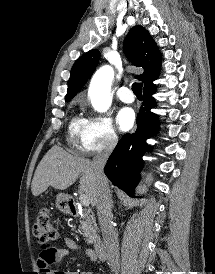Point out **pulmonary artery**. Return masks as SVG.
<instances>
[{
	"label": "pulmonary artery",
	"instance_id": "obj_1",
	"mask_svg": "<svg viewBox=\"0 0 215 274\" xmlns=\"http://www.w3.org/2000/svg\"><path fill=\"white\" fill-rule=\"evenodd\" d=\"M117 96L124 103H132L134 101V95L128 87L119 88Z\"/></svg>",
	"mask_w": 215,
	"mask_h": 274
}]
</instances>
